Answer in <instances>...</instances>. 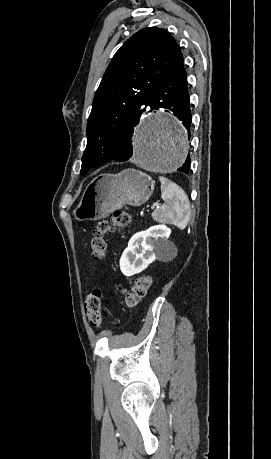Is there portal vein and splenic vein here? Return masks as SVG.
I'll return each instance as SVG.
<instances>
[{
	"label": "portal vein and splenic vein",
	"mask_w": 271,
	"mask_h": 459,
	"mask_svg": "<svg viewBox=\"0 0 271 459\" xmlns=\"http://www.w3.org/2000/svg\"><path fill=\"white\" fill-rule=\"evenodd\" d=\"M155 206H157V208H158L159 204H154V206H151L152 210H153V208H155Z\"/></svg>",
	"instance_id": "18ae733b"
}]
</instances>
